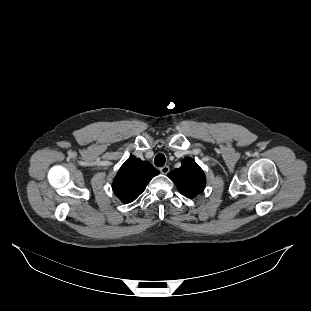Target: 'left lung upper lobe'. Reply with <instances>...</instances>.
Instances as JSON below:
<instances>
[{"label":"left lung upper lobe","mask_w":311,"mask_h":311,"mask_svg":"<svg viewBox=\"0 0 311 311\" xmlns=\"http://www.w3.org/2000/svg\"><path fill=\"white\" fill-rule=\"evenodd\" d=\"M168 177L174 181L181 194L189 198L200 194L205 188V174L199 165L190 158H185L181 167L171 171Z\"/></svg>","instance_id":"left-lung-upper-lobe-1"}]
</instances>
